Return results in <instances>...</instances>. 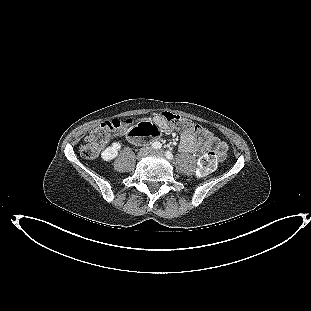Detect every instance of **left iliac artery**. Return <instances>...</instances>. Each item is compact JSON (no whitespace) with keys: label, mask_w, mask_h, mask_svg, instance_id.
<instances>
[{"label":"left iliac artery","mask_w":311,"mask_h":311,"mask_svg":"<svg viewBox=\"0 0 311 311\" xmlns=\"http://www.w3.org/2000/svg\"><path fill=\"white\" fill-rule=\"evenodd\" d=\"M165 156H166L168 159H170V160L173 159V154H172L170 151H166V152H165Z\"/></svg>","instance_id":"obj_1"}]
</instances>
